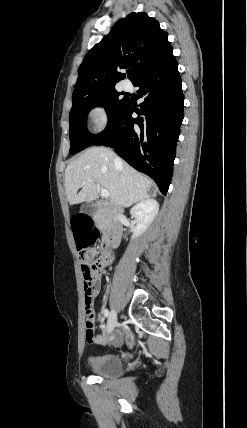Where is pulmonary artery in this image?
<instances>
[{"label":"pulmonary artery","instance_id":"obj_1","mask_svg":"<svg viewBox=\"0 0 247 428\" xmlns=\"http://www.w3.org/2000/svg\"><path fill=\"white\" fill-rule=\"evenodd\" d=\"M123 88H124L125 90H129V89L131 88L130 83H128V82H124V83H123Z\"/></svg>","mask_w":247,"mask_h":428}]
</instances>
